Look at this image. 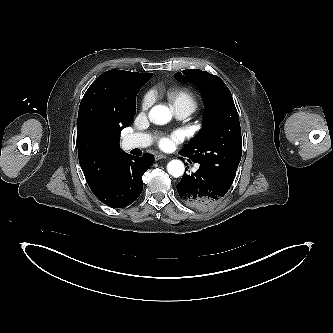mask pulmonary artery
Returning <instances> with one entry per match:
<instances>
[{"label": "pulmonary artery", "mask_w": 333, "mask_h": 333, "mask_svg": "<svg viewBox=\"0 0 333 333\" xmlns=\"http://www.w3.org/2000/svg\"><path fill=\"white\" fill-rule=\"evenodd\" d=\"M194 109L188 107L175 108L174 112L179 119H184L193 113ZM152 142V138L146 133H134L126 137L127 148H145Z\"/></svg>", "instance_id": "obj_1"}]
</instances>
